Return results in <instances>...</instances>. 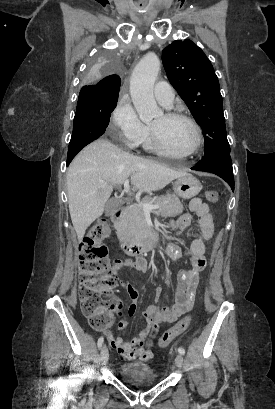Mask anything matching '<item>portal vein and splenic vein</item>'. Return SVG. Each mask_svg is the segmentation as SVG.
Instances as JSON below:
<instances>
[{"label": "portal vein and splenic vein", "instance_id": "18ae733b", "mask_svg": "<svg viewBox=\"0 0 275 409\" xmlns=\"http://www.w3.org/2000/svg\"><path fill=\"white\" fill-rule=\"evenodd\" d=\"M124 188H125V192H129L130 194L129 178H125ZM159 207L160 205H151V202H144V205H143L144 213H150V211H153V209H159Z\"/></svg>", "mask_w": 275, "mask_h": 409}]
</instances>
